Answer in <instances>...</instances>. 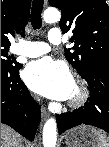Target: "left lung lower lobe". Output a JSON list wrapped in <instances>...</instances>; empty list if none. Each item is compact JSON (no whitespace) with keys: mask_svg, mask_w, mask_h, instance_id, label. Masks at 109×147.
Wrapping results in <instances>:
<instances>
[{"mask_svg":"<svg viewBox=\"0 0 109 147\" xmlns=\"http://www.w3.org/2000/svg\"><path fill=\"white\" fill-rule=\"evenodd\" d=\"M85 80L90 90L89 101L74 112L56 116L59 134L81 124L109 133V65H92Z\"/></svg>","mask_w":109,"mask_h":147,"instance_id":"obj_1","label":"left lung lower lobe"}]
</instances>
